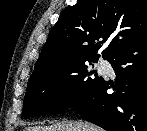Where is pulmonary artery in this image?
<instances>
[{
    "label": "pulmonary artery",
    "instance_id": "obj_1",
    "mask_svg": "<svg viewBox=\"0 0 147 131\" xmlns=\"http://www.w3.org/2000/svg\"><path fill=\"white\" fill-rule=\"evenodd\" d=\"M101 64H105V62L103 61Z\"/></svg>",
    "mask_w": 147,
    "mask_h": 131
}]
</instances>
